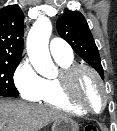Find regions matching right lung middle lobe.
<instances>
[{"instance_id": "obj_1", "label": "right lung middle lobe", "mask_w": 117, "mask_h": 131, "mask_svg": "<svg viewBox=\"0 0 117 131\" xmlns=\"http://www.w3.org/2000/svg\"><path fill=\"white\" fill-rule=\"evenodd\" d=\"M18 61H0V96L17 97L19 95L13 82L14 72Z\"/></svg>"}]
</instances>
